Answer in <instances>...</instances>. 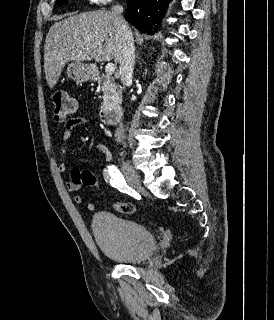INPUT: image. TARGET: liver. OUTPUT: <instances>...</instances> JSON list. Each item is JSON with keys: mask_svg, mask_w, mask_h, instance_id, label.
<instances>
[{"mask_svg": "<svg viewBox=\"0 0 274 320\" xmlns=\"http://www.w3.org/2000/svg\"><path fill=\"white\" fill-rule=\"evenodd\" d=\"M121 40L108 10L83 12L51 26L44 46V70L54 88L67 62H120Z\"/></svg>", "mask_w": 274, "mask_h": 320, "instance_id": "liver-1", "label": "liver"}]
</instances>
